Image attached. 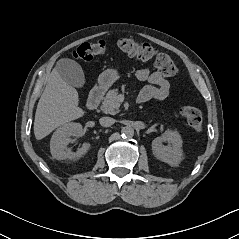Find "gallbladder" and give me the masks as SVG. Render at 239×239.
<instances>
[{
  "instance_id": "gallbladder-1",
  "label": "gallbladder",
  "mask_w": 239,
  "mask_h": 239,
  "mask_svg": "<svg viewBox=\"0 0 239 239\" xmlns=\"http://www.w3.org/2000/svg\"><path fill=\"white\" fill-rule=\"evenodd\" d=\"M60 76L70 85L81 88L85 83V77L81 66L69 58L60 59L56 64Z\"/></svg>"
}]
</instances>
